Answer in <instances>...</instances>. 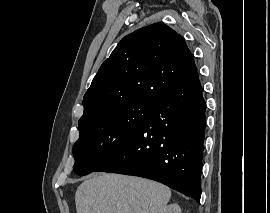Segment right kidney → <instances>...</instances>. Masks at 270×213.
Returning <instances> with one entry per match:
<instances>
[{
	"instance_id": "ca27d5eb",
	"label": "right kidney",
	"mask_w": 270,
	"mask_h": 213,
	"mask_svg": "<svg viewBox=\"0 0 270 213\" xmlns=\"http://www.w3.org/2000/svg\"><path fill=\"white\" fill-rule=\"evenodd\" d=\"M158 213H181V208L178 204H169L163 207Z\"/></svg>"
}]
</instances>
